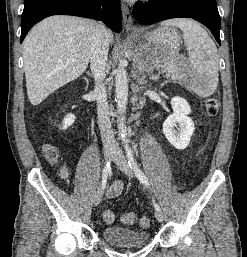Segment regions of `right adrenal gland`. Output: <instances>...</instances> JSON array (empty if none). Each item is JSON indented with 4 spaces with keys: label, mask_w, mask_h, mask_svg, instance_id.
Listing matches in <instances>:
<instances>
[{
    "label": "right adrenal gland",
    "mask_w": 247,
    "mask_h": 257,
    "mask_svg": "<svg viewBox=\"0 0 247 257\" xmlns=\"http://www.w3.org/2000/svg\"><path fill=\"white\" fill-rule=\"evenodd\" d=\"M87 74L90 75V76H92V74L90 73V71H87Z\"/></svg>",
    "instance_id": "obj_1"
}]
</instances>
